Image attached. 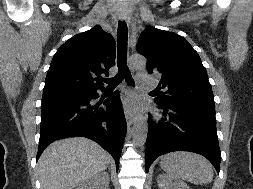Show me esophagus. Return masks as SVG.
I'll use <instances>...</instances> for the list:
<instances>
[{
    "label": "esophagus",
    "mask_w": 253,
    "mask_h": 189,
    "mask_svg": "<svg viewBox=\"0 0 253 189\" xmlns=\"http://www.w3.org/2000/svg\"><path fill=\"white\" fill-rule=\"evenodd\" d=\"M120 19L124 21V20L127 19V16L126 15H120ZM126 120H127L128 125H132L135 122L136 118L131 114H127Z\"/></svg>",
    "instance_id": "obj_1"
}]
</instances>
